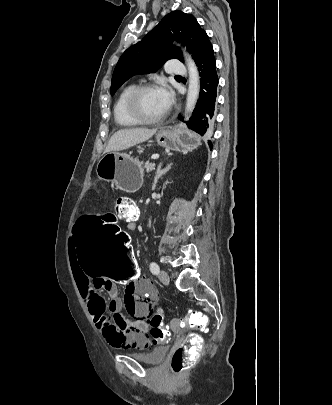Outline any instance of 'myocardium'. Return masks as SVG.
<instances>
[{"instance_id": "1", "label": "myocardium", "mask_w": 332, "mask_h": 405, "mask_svg": "<svg viewBox=\"0 0 332 405\" xmlns=\"http://www.w3.org/2000/svg\"><path fill=\"white\" fill-rule=\"evenodd\" d=\"M158 89L157 85L152 84V83H146L137 86L128 96L126 100V112L129 115L130 118H132L134 121H136L138 124H154L158 123L162 120H164L167 115L168 111L158 117L155 118H147L143 116V114L140 111L139 107V101L143 93L149 91V90H154Z\"/></svg>"}]
</instances>
